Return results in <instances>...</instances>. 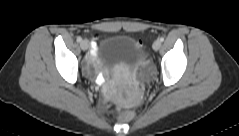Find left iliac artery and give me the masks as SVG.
Masks as SVG:
<instances>
[{"label": "left iliac artery", "mask_w": 239, "mask_h": 136, "mask_svg": "<svg viewBox=\"0 0 239 136\" xmlns=\"http://www.w3.org/2000/svg\"><path fill=\"white\" fill-rule=\"evenodd\" d=\"M160 42H163L164 41V37H160Z\"/></svg>", "instance_id": "left-iliac-artery-1"}]
</instances>
